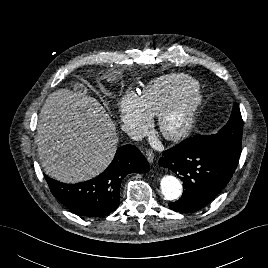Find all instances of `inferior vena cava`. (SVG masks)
<instances>
[{
  "label": "inferior vena cava",
  "mask_w": 268,
  "mask_h": 268,
  "mask_svg": "<svg viewBox=\"0 0 268 268\" xmlns=\"http://www.w3.org/2000/svg\"><path fill=\"white\" fill-rule=\"evenodd\" d=\"M123 131H125L133 140H140L142 139V135L139 133V131L133 127H130L128 125L122 126Z\"/></svg>",
  "instance_id": "obj_1"
}]
</instances>
